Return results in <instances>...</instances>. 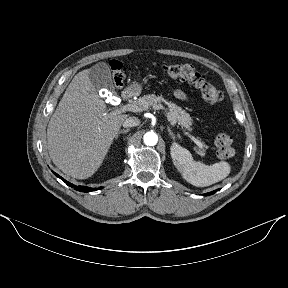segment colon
I'll list each match as a JSON object with an SVG mask.
<instances>
[{
    "instance_id": "5ec220e1",
    "label": "colon",
    "mask_w": 288,
    "mask_h": 288,
    "mask_svg": "<svg viewBox=\"0 0 288 288\" xmlns=\"http://www.w3.org/2000/svg\"><path fill=\"white\" fill-rule=\"evenodd\" d=\"M110 67L113 72V79L117 87L124 83L122 65L118 61H112ZM164 73L173 79L193 85L197 88L203 99L210 104H217L222 101L223 94L212 84L208 83L202 75L192 66L186 64L167 65L163 68ZM215 147L219 158L228 159L234 155L232 138L226 133H218L215 137Z\"/></svg>"
}]
</instances>
